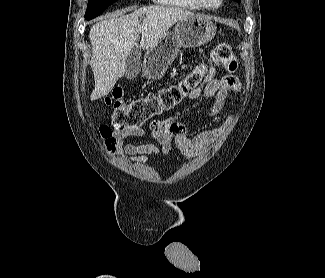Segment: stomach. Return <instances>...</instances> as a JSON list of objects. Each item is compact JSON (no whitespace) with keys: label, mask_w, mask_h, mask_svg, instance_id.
I'll use <instances>...</instances> for the list:
<instances>
[{"label":"stomach","mask_w":325,"mask_h":278,"mask_svg":"<svg viewBox=\"0 0 325 278\" xmlns=\"http://www.w3.org/2000/svg\"><path fill=\"white\" fill-rule=\"evenodd\" d=\"M215 34V24L205 16L195 15L179 20L173 32L166 33L157 44L147 49L145 75L150 79L162 77L181 47H200L211 41Z\"/></svg>","instance_id":"obj_1"}]
</instances>
